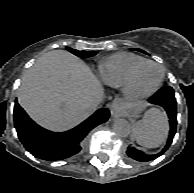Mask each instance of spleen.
Listing matches in <instances>:
<instances>
[{
	"instance_id": "obj_1",
	"label": "spleen",
	"mask_w": 194,
	"mask_h": 193,
	"mask_svg": "<svg viewBox=\"0 0 194 193\" xmlns=\"http://www.w3.org/2000/svg\"><path fill=\"white\" fill-rule=\"evenodd\" d=\"M168 119L158 108L148 110L142 120L134 126V136L137 143L146 148H157L162 145L168 135Z\"/></svg>"
}]
</instances>
